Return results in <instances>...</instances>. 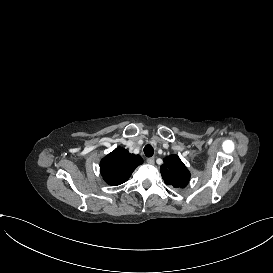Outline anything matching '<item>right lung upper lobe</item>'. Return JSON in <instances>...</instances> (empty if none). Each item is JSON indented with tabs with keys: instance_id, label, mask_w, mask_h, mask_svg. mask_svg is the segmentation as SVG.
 Masks as SVG:
<instances>
[{
	"instance_id": "obj_1",
	"label": "right lung upper lobe",
	"mask_w": 273,
	"mask_h": 273,
	"mask_svg": "<svg viewBox=\"0 0 273 273\" xmlns=\"http://www.w3.org/2000/svg\"><path fill=\"white\" fill-rule=\"evenodd\" d=\"M142 164L138 155L129 154L123 148H116L100 162V170L109 185H120L126 182L134 169Z\"/></svg>"
}]
</instances>
